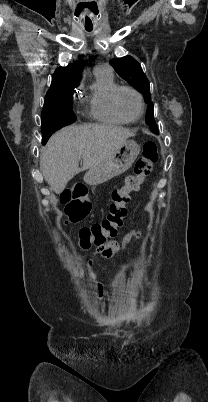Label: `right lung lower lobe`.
I'll use <instances>...</instances> for the list:
<instances>
[{"label": "right lung lower lobe", "mask_w": 208, "mask_h": 402, "mask_svg": "<svg viewBox=\"0 0 208 402\" xmlns=\"http://www.w3.org/2000/svg\"><path fill=\"white\" fill-rule=\"evenodd\" d=\"M42 123V132L43 135L45 136V139L48 141L50 136L60 128L66 126V124L61 123L57 120L50 121V122H41Z\"/></svg>", "instance_id": "98d812e1"}]
</instances>
